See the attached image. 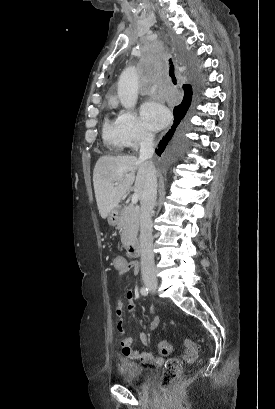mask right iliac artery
Returning a JSON list of instances; mask_svg holds the SVG:
<instances>
[{
  "instance_id": "1",
  "label": "right iliac artery",
  "mask_w": 275,
  "mask_h": 409,
  "mask_svg": "<svg viewBox=\"0 0 275 409\" xmlns=\"http://www.w3.org/2000/svg\"><path fill=\"white\" fill-rule=\"evenodd\" d=\"M140 292L143 296H147L149 294V290L146 287H142Z\"/></svg>"
}]
</instances>
